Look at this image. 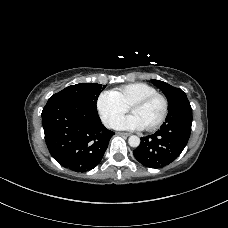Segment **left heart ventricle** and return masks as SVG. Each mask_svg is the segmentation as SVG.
Returning a JSON list of instances; mask_svg holds the SVG:
<instances>
[{"label":"left heart ventricle","instance_id":"b2bd125f","mask_svg":"<svg viewBox=\"0 0 228 228\" xmlns=\"http://www.w3.org/2000/svg\"><path fill=\"white\" fill-rule=\"evenodd\" d=\"M162 110L163 103L161 99L156 98L144 106L134 108L131 114L139 120L143 128H147L159 119Z\"/></svg>","mask_w":228,"mask_h":228}]
</instances>
